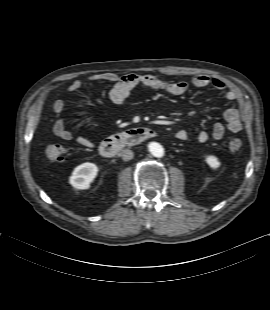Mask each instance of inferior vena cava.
Listing matches in <instances>:
<instances>
[{
    "label": "inferior vena cava",
    "instance_id": "1",
    "mask_svg": "<svg viewBox=\"0 0 270 310\" xmlns=\"http://www.w3.org/2000/svg\"><path fill=\"white\" fill-rule=\"evenodd\" d=\"M121 156L124 161H129L133 158L134 154L131 150L125 149L122 151Z\"/></svg>",
    "mask_w": 270,
    "mask_h": 310
}]
</instances>
